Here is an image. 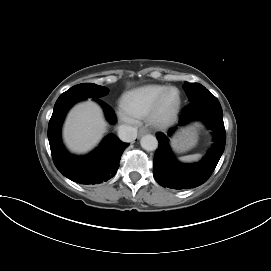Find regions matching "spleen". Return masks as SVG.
I'll use <instances>...</instances> for the list:
<instances>
[{
	"label": "spleen",
	"mask_w": 271,
	"mask_h": 271,
	"mask_svg": "<svg viewBox=\"0 0 271 271\" xmlns=\"http://www.w3.org/2000/svg\"><path fill=\"white\" fill-rule=\"evenodd\" d=\"M200 158H201L200 154H192V155L180 157L179 160L182 162H194V161H198Z\"/></svg>",
	"instance_id": "3e777b00"
}]
</instances>
